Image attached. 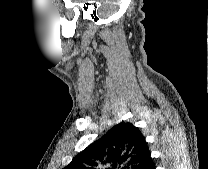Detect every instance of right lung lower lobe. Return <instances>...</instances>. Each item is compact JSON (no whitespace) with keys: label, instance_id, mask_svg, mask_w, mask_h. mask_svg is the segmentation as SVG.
<instances>
[{"label":"right lung lower lobe","instance_id":"98d812e1","mask_svg":"<svg viewBox=\"0 0 208 169\" xmlns=\"http://www.w3.org/2000/svg\"><path fill=\"white\" fill-rule=\"evenodd\" d=\"M142 169H155V165L150 158L149 161L142 167Z\"/></svg>","mask_w":208,"mask_h":169}]
</instances>
